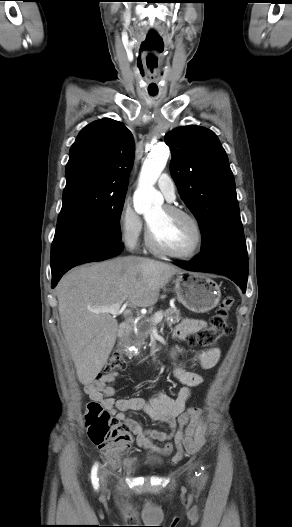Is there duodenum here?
Returning a JSON list of instances; mask_svg holds the SVG:
<instances>
[{
  "mask_svg": "<svg viewBox=\"0 0 292 527\" xmlns=\"http://www.w3.org/2000/svg\"><path fill=\"white\" fill-rule=\"evenodd\" d=\"M132 329V324L129 321H124L119 326L118 336L119 338H125Z\"/></svg>",
  "mask_w": 292,
  "mask_h": 527,
  "instance_id": "410a0bca",
  "label": "duodenum"
}]
</instances>
